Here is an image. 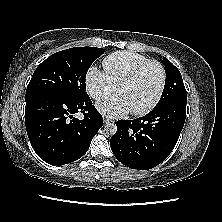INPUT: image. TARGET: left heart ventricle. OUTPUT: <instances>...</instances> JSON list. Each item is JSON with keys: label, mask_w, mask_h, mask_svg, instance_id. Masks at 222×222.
Here are the masks:
<instances>
[{"label": "left heart ventricle", "mask_w": 222, "mask_h": 222, "mask_svg": "<svg viewBox=\"0 0 222 222\" xmlns=\"http://www.w3.org/2000/svg\"><path fill=\"white\" fill-rule=\"evenodd\" d=\"M160 79L159 68L153 64L148 65L133 82L123 86L119 93L125 97L130 110L140 109L154 98Z\"/></svg>", "instance_id": "obj_1"}]
</instances>
